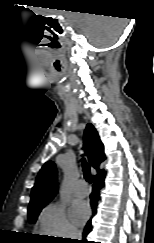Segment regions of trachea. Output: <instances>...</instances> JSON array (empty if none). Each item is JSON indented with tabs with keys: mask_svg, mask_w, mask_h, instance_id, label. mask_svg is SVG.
<instances>
[{
	"mask_svg": "<svg viewBox=\"0 0 154 243\" xmlns=\"http://www.w3.org/2000/svg\"><path fill=\"white\" fill-rule=\"evenodd\" d=\"M82 167H83L84 178L86 179L87 182L92 183L93 180H92L90 168L84 158L82 159Z\"/></svg>",
	"mask_w": 154,
	"mask_h": 243,
	"instance_id": "obj_1",
	"label": "trachea"
}]
</instances>
